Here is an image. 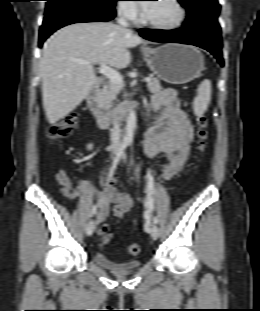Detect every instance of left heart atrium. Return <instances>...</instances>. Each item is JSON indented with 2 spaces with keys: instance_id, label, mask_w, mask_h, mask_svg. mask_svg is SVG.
<instances>
[{
  "instance_id": "obj_1",
  "label": "left heart atrium",
  "mask_w": 260,
  "mask_h": 311,
  "mask_svg": "<svg viewBox=\"0 0 260 311\" xmlns=\"http://www.w3.org/2000/svg\"><path fill=\"white\" fill-rule=\"evenodd\" d=\"M150 4H144V9L147 10Z\"/></svg>"
}]
</instances>
